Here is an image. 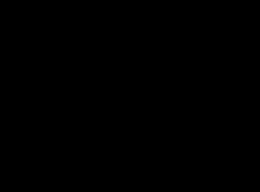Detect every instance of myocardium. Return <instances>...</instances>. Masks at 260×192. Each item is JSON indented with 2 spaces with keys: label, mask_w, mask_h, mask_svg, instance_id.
Returning a JSON list of instances; mask_svg holds the SVG:
<instances>
[{
  "label": "myocardium",
  "mask_w": 260,
  "mask_h": 192,
  "mask_svg": "<svg viewBox=\"0 0 260 192\" xmlns=\"http://www.w3.org/2000/svg\"><path fill=\"white\" fill-rule=\"evenodd\" d=\"M164 73H165V71H164V72H160L159 74H156L155 76H153L152 79H154V78H156V77H158V76H161V75L164 74Z\"/></svg>",
  "instance_id": "obj_1"
}]
</instances>
